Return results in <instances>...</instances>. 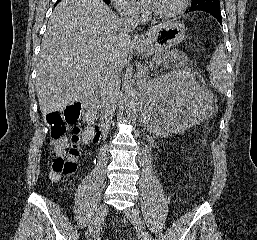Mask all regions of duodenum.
<instances>
[{
	"label": "duodenum",
	"mask_w": 257,
	"mask_h": 240,
	"mask_svg": "<svg viewBox=\"0 0 257 240\" xmlns=\"http://www.w3.org/2000/svg\"><path fill=\"white\" fill-rule=\"evenodd\" d=\"M97 97L95 94H88L82 101V110L85 117L86 128L91 135L94 144L99 143L102 136L101 127L95 122V107Z\"/></svg>",
	"instance_id": "duodenum-1"
}]
</instances>
